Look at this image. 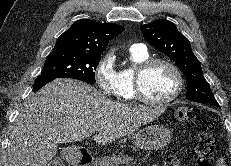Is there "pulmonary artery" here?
Segmentation results:
<instances>
[{
    "label": "pulmonary artery",
    "mask_w": 231,
    "mask_h": 166,
    "mask_svg": "<svg viewBox=\"0 0 231 166\" xmlns=\"http://www.w3.org/2000/svg\"><path fill=\"white\" fill-rule=\"evenodd\" d=\"M131 47L133 49H137V50H140V51H147L145 45L141 44V43L133 44Z\"/></svg>",
    "instance_id": "obj_1"
}]
</instances>
